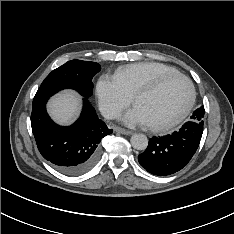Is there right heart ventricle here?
<instances>
[{"label":"right heart ventricle","instance_id":"obj_1","mask_svg":"<svg viewBox=\"0 0 234 234\" xmlns=\"http://www.w3.org/2000/svg\"><path fill=\"white\" fill-rule=\"evenodd\" d=\"M179 73L175 68L156 62L133 63L116 70L115 76L120 80L125 90L133 96L141 87L150 84L156 79Z\"/></svg>","mask_w":234,"mask_h":234}]
</instances>
